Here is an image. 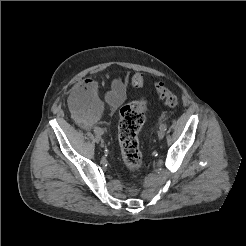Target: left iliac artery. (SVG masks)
<instances>
[{
  "label": "left iliac artery",
  "instance_id": "left-iliac-artery-1",
  "mask_svg": "<svg viewBox=\"0 0 246 246\" xmlns=\"http://www.w3.org/2000/svg\"><path fill=\"white\" fill-rule=\"evenodd\" d=\"M160 129L165 131L167 129V125L166 124H161L160 125Z\"/></svg>",
  "mask_w": 246,
  "mask_h": 246
}]
</instances>
